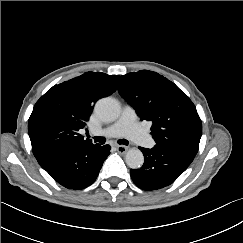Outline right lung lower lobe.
Listing matches in <instances>:
<instances>
[{
	"instance_id": "1",
	"label": "right lung lower lobe",
	"mask_w": 243,
	"mask_h": 243,
	"mask_svg": "<svg viewBox=\"0 0 243 243\" xmlns=\"http://www.w3.org/2000/svg\"><path fill=\"white\" fill-rule=\"evenodd\" d=\"M109 145L89 144L81 147H51L34 155L40 166L60 185L80 190L97 178Z\"/></svg>"
}]
</instances>
